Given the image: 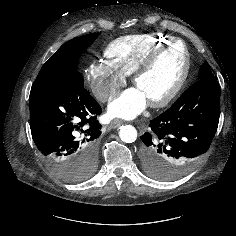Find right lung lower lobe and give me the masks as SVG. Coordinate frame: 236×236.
I'll return each instance as SVG.
<instances>
[{
    "label": "right lung lower lobe",
    "mask_w": 236,
    "mask_h": 236,
    "mask_svg": "<svg viewBox=\"0 0 236 236\" xmlns=\"http://www.w3.org/2000/svg\"><path fill=\"white\" fill-rule=\"evenodd\" d=\"M29 104L32 138L49 164L97 160L102 110L83 84L72 78L35 81Z\"/></svg>",
    "instance_id": "right-lung-lower-lobe-1"
}]
</instances>
